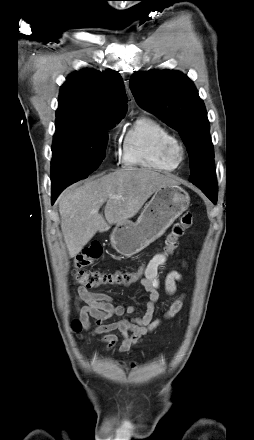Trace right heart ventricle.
<instances>
[{
    "mask_svg": "<svg viewBox=\"0 0 254 440\" xmlns=\"http://www.w3.org/2000/svg\"><path fill=\"white\" fill-rule=\"evenodd\" d=\"M173 137L170 130L153 117L142 115L128 129L122 147L123 165L160 172H171L176 166L166 161L161 149Z\"/></svg>",
    "mask_w": 254,
    "mask_h": 440,
    "instance_id": "1",
    "label": "right heart ventricle"
}]
</instances>
